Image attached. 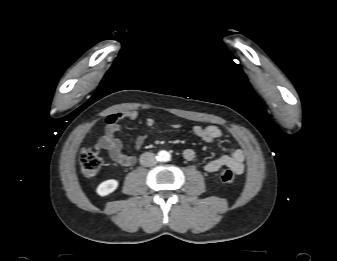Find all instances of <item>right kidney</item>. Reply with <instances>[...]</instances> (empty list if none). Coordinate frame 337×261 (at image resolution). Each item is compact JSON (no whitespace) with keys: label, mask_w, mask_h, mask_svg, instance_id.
<instances>
[{"label":"right kidney","mask_w":337,"mask_h":261,"mask_svg":"<svg viewBox=\"0 0 337 261\" xmlns=\"http://www.w3.org/2000/svg\"><path fill=\"white\" fill-rule=\"evenodd\" d=\"M118 187V181L115 179H109L100 183L97 187L96 192L100 196H106L114 192Z\"/></svg>","instance_id":"right-kidney-1"}]
</instances>
